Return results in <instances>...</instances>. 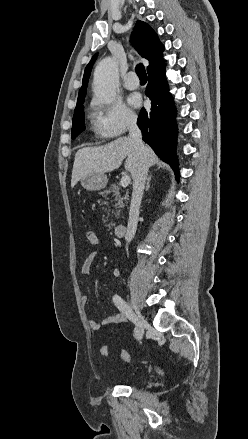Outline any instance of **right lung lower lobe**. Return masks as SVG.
I'll return each instance as SVG.
<instances>
[{
  "instance_id": "obj_1",
  "label": "right lung lower lobe",
  "mask_w": 248,
  "mask_h": 439,
  "mask_svg": "<svg viewBox=\"0 0 248 439\" xmlns=\"http://www.w3.org/2000/svg\"><path fill=\"white\" fill-rule=\"evenodd\" d=\"M148 78L146 95L151 100V108L141 109L137 124L142 131L143 140L178 173L175 156L176 109L165 77V65L149 71Z\"/></svg>"
}]
</instances>
